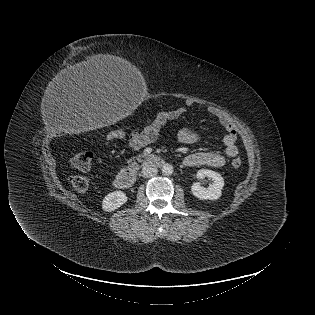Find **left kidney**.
Here are the masks:
<instances>
[{"instance_id":"1","label":"left kidney","mask_w":315,"mask_h":315,"mask_svg":"<svg viewBox=\"0 0 315 315\" xmlns=\"http://www.w3.org/2000/svg\"><path fill=\"white\" fill-rule=\"evenodd\" d=\"M205 177L212 179L213 183L207 188L201 186L199 182L193 183L191 186L193 195L201 200H216L221 197L224 187V179L221 175L208 169H201L197 172V178L203 179Z\"/></svg>"}]
</instances>
